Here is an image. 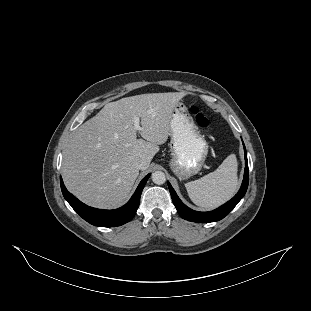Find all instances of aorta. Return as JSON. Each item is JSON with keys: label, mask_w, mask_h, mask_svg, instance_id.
I'll use <instances>...</instances> for the list:
<instances>
[{"label": "aorta", "mask_w": 311, "mask_h": 311, "mask_svg": "<svg viewBox=\"0 0 311 311\" xmlns=\"http://www.w3.org/2000/svg\"><path fill=\"white\" fill-rule=\"evenodd\" d=\"M151 178L153 183L157 185H162L166 182V175L162 171H155L154 173H152Z\"/></svg>", "instance_id": "1"}]
</instances>
